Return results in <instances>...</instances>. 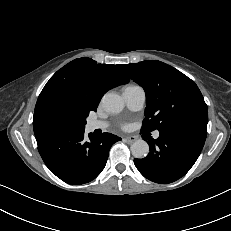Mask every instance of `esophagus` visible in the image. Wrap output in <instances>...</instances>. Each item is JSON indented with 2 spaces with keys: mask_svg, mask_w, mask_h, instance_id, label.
<instances>
[{
  "mask_svg": "<svg viewBox=\"0 0 231 231\" xmlns=\"http://www.w3.org/2000/svg\"><path fill=\"white\" fill-rule=\"evenodd\" d=\"M124 140L127 142V143H133L134 141L137 140V137L136 136H126L124 138Z\"/></svg>",
  "mask_w": 231,
  "mask_h": 231,
  "instance_id": "obj_1",
  "label": "esophagus"
}]
</instances>
